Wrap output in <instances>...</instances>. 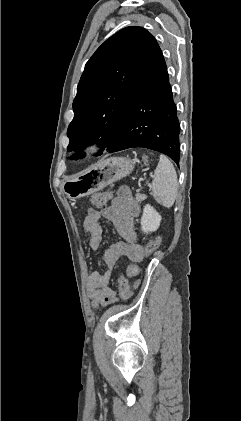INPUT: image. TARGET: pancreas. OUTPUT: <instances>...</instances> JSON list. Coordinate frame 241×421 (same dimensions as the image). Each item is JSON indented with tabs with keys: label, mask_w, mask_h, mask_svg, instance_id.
I'll return each mask as SVG.
<instances>
[{
	"label": "pancreas",
	"mask_w": 241,
	"mask_h": 421,
	"mask_svg": "<svg viewBox=\"0 0 241 421\" xmlns=\"http://www.w3.org/2000/svg\"><path fill=\"white\" fill-rule=\"evenodd\" d=\"M147 198L145 194H136V200L138 202L144 201Z\"/></svg>",
	"instance_id": "cf45deb5"
}]
</instances>
